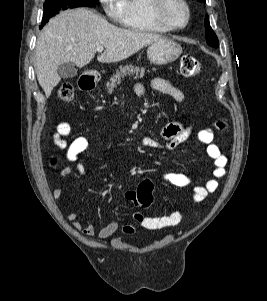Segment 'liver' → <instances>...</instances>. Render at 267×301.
<instances>
[{
    "label": "liver",
    "mask_w": 267,
    "mask_h": 301,
    "mask_svg": "<svg viewBox=\"0 0 267 301\" xmlns=\"http://www.w3.org/2000/svg\"><path fill=\"white\" fill-rule=\"evenodd\" d=\"M161 38L156 33L116 27L86 8L61 12L49 21L37 39L35 59L38 82L49 97L61 80L57 71L61 64L71 62L84 67L95 57L98 46L105 49L97 57L99 62H119Z\"/></svg>",
    "instance_id": "1"
}]
</instances>
